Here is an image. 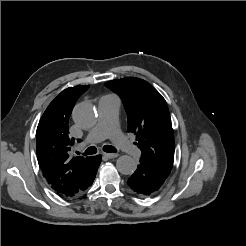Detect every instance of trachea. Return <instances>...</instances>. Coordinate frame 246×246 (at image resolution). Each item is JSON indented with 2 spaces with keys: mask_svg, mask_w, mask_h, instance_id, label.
Wrapping results in <instances>:
<instances>
[{
  "mask_svg": "<svg viewBox=\"0 0 246 246\" xmlns=\"http://www.w3.org/2000/svg\"><path fill=\"white\" fill-rule=\"evenodd\" d=\"M103 151L107 153H115L117 152V149L111 145H105L103 146ZM97 153V148L95 146H91L87 148V150L83 153L84 155H93Z\"/></svg>",
  "mask_w": 246,
  "mask_h": 246,
  "instance_id": "obj_1",
  "label": "trachea"
}]
</instances>
